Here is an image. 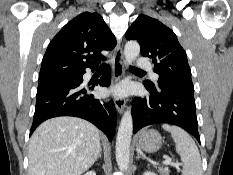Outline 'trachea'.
I'll use <instances>...</instances> for the list:
<instances>
[{"label": "trachea", "instance_id": "3493384b", "mask_svg": "<svg viewBox=\"0 0 233 175\" xmlns=\"http://www.w3.org/2000/svg\"><path fill=\"white\" fill-rule=\"evenodd\" d=\"M105 65H106L105 63H102V64H101V67H105ZM130 69L136 70V71H142V72H144L143 70H141V69H139V68H136V67H134V66H131Z\"/></svg>", "mask_w": 233, "mask_h": 175}]
</instances>
